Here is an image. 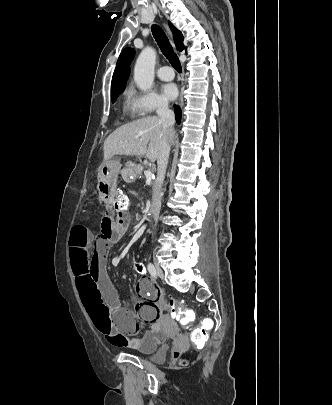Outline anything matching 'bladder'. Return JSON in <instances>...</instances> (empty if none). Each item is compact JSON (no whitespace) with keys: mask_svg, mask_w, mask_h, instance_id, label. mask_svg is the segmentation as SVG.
<instances>
[{"mask_svg":"<svg viewBox=\"0 0 332 405\" xmlns=\"http://www.w3.org/2000/svg\"><path fill=\"white\" fill-rule=\"evenodd\" d=\"M161 337H162V340L160 342H158L157 344L153 345L150 348L139 349V350H137L138 353H141L144 355L151 354L152 355L151 359L155 363L165 362L167 352H168V348L166 346L167 335L162 334Z\"/></svg>","mask_w":332,"mask_h":405,"instance_id":"1","label":"bladder"}]
</instances>
